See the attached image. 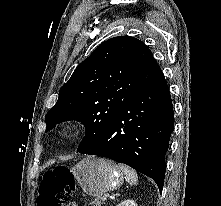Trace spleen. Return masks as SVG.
Here are the masks:
<instances>
[{
    "label": "spleen",
    "mask_w": 221,
    "mask_h": 206,
    "mask_svg": "<svg viewBox=\"0 0 221 206\" xmlns=\"http://www.w3.org/2000/svg\"><path fill=\"white\" fill-rule=\"evenodd\" d=\"M120 168L125 175L126 181L130 185H136L138 182V175H137L136 171H134L133 169H131L125 165H120Z\"/></svg>",
    "instance_id": "spleen-1"
}]
</instances>
